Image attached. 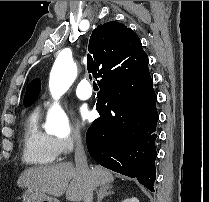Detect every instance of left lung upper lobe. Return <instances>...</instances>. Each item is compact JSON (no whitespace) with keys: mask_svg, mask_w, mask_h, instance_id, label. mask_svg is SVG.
<instances>
[{"mask_svg":"<svg viewBox=\"0 0 209 202\" xmlns=\"http://www.w3.org/2000/svg\"><path fill=\"white\" fill-rule=\"evenodd\" d=\"M41 90V81L40 79H34L31 81L26 89L24 97V105L26 107L30 106L37 98Z\"/></svg>","mask_w":209,"mask_h":202,"instance_id":"left-lung-upper-lobe-1","label":"left lung upper lobe"}]
</instances>
